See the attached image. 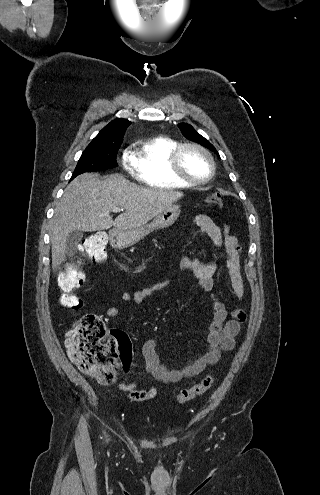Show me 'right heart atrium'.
<instances>
[{
	"label": "right heart atrium",
	"instance_id": "1",
	"mask_svg": "<svg viewBox=\"0 0 320 495\" xmlns=\"http://www.w3.org/2000/svg\"><path fill=\"white\" fill-rule=\"evenodd\" d=\"M122 164L127 170L132 171L134 169V158L129 150L123 152Z\"/></svg>",
	"mask_w": 320,
	"mask_h": 495
}]
</instances>
